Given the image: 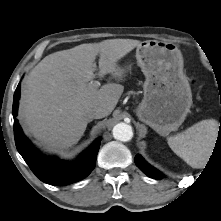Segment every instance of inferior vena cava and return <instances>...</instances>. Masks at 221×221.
<instances>
[{"label": "inferior vena cava", "mask_w": 221, "mask_h": 221, "mask_svg": "<svg viewBox=\"0 0 221 221\" xmlns=\"http://www.w3.org/2000/svg\"><path fill=\"white\" fill-rule=\"evenodd\" d=\"M100 110L99 108H88L85 110L84 116L87 118L88 121H92L99 117Z\"/></svg>", "instance_id": "1"}]
</instances>
